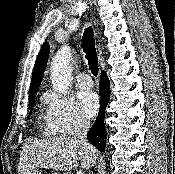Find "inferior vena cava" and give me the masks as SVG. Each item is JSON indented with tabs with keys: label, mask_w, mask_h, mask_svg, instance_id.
Here are the masks:
<instances>
[{
	"label": "inferior vena cava",
	"mask_w": 175,
	"mask_h": 174,
	"mask_svg": "<svg viewBox=\"0 0 175 174\" xmlns=\"http://www.w3.org/2000/svg\"><path fill=\"white\" fill-rule=\"evenodd\" d=\"M90 123L86 119H78L75 124V134L74 141L76 143L82 144L94 155L95 149L88 143L86 139L87 132L89 130Z\"/></svg>",
	"instance_id": "inferior-vena-cava-1"
}]
</instances>
